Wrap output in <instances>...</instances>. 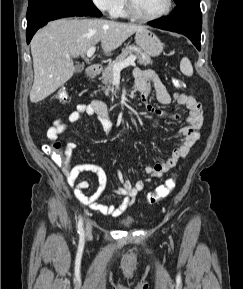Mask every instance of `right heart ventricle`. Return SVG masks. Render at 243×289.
<instances>
[{"label": "right heart ventricle", "mask_w": 243, "mask_h": 289, "mask_svg": "<svg viewBox=\"0 0 243 289\" xmlns=\"http://www.w3.org/2000/svg\"><path fill=\"white\" fill-rule=\"evenodd\" d=\"M115 16L123 17V18H126V17L129 16V15L127 14V12H126V9H125V2H124V0H122L121 6L119 7V9H118L117 13L115 14Z\"/></svg>", "instance_id": "right-heart-ventricle-1"}]
</instances>
